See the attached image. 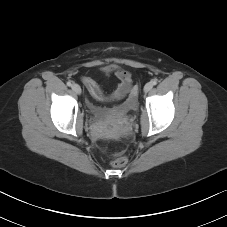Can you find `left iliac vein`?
Returning <instances> with one entry per match:
<instances>
[{"label": "left iliac vein", "mask_w": 227, "mask_h": 227, "mask_svg": "<svg viewBox=\"0 0 227 227\" xmlns=\"http://www.w3.org/2000/svg\"><path fill=\"white\" fill-rule=\"evenodd\" d=\"M153 87V84L151 82H148L145 86H144V92L147 93L149 92Z\"/></svg>", "instance_id": "1"}]
</instances>
